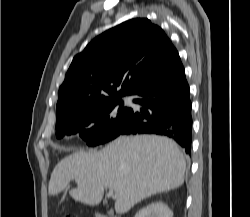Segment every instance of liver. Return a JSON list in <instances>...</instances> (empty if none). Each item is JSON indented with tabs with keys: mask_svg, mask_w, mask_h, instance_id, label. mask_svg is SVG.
Returning <instances> with one entry per match:
<instances>
[{
	"mask_svg": "<svg viewBox=\"0 0 250 217\" xmlns=\"http://www.w3.org/2000/svg\"><path fill=\"white\" fill-rule=\"evenodd\" d=\"M186 161L178 145L155 135L120 136L99 151H77L54 168L48 194L55 196L75 180L70 196L86 205H98L109 188L115 192V211L128 212L157 193L181 186Z\"/></svg>",
	"mask_w": 250,
	"mask_h": 217,
	"instance_id": "obj_1",
	"label": "liver"
}]
</instances>
